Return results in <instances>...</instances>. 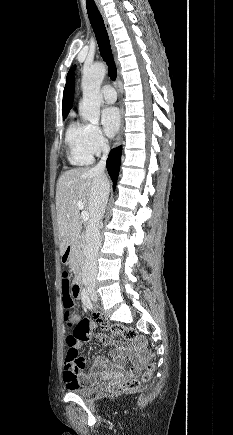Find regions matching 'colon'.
Masks as SVG:
<instances>
[{"instance_id": "obj_1", "label": "colon", "mask_w": 233, "mask_h": 435, "mask_svg": "<svg viewBox=\"0 0 233 435\" xmlns=\"http://www.w3.org/2000/svg\"><path fill=\"white\" fill-rule=\"evenodd\" d=\"M70 276L67 271L62 273V280L64 283H68ZM74 295H64L63 304L65 306L64 320L68 327H75L79 320V315L75 310V299ZM112 334L115 336L122 337L125 341H133L137 339L138 333L135 329L122 326V325H114L111 328ZM66 358L69 362H73L76 364H82L83 359L79 356L77 343L73 339L67 340V355ZM153 373V365L148 364L146 371L143 375V380L147 381L151 378ZM139 386V381L131 378L127 379L123 382H114L105 387V393L110 396H115L119 394H125L130 392L131 390L137 388Z\"/></svg>"}]
</instances>
